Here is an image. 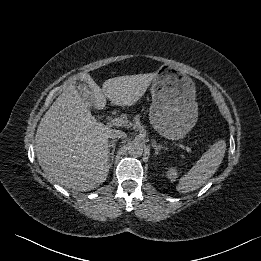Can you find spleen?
Instances as JSON below:
<instances>
[{"label":"spleen","mask_w":261,"mask_h":261,"mask_svg":"<svg viewBox=\"0 0 261 261\" xmlns=\"http://www.w3.org/2000/svg\"><path fill=\"white\" fill-rule=\"evenodd\" d=\"M226 142L214 143L179 181L176 189L189 193L200 188L217 171L225 155Z\"/></svg>","instance_id":"3e777b00"}]
</instances>
